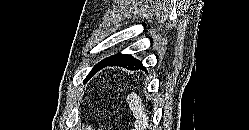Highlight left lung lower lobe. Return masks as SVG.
Wrapping results in <instances>:
<instances>
[{"label":"left lung lower lobe","mask_w":249,"mask_h":130,"mask_svg":"<svg viewBox=\"0 0 249 130\" xmlns=\"http://www.w3.org/2000/svg\"><path fill=\"white\" fill-rule=\"evenodd\" d=\"M112 65L122 66L124 68L129 69V70H137V69H143L144 70L145 69V67L142 65V62L139 61V60H136L131 55H128V54H117L113 58L107 60L102 66H100L96 70V72H98L99 70H101L102 68H104L106 66H112Z\"/></svg>","instance_id":"1"}]
</instances>
